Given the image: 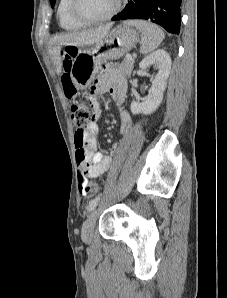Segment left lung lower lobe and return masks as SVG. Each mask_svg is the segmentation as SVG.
I'll return each mask as SVG.
<instances>
[{"label":"left lung lower lobe","mask_w":227,"mask_h":298,"mask_svg":"<svg viewBox=\"0 0 227 298\" xmlns=\"http://www.w3.org/2000/svg\"><path fill=\"white\" fill-rule=\"evenodd\" d=\"M182 0H130L113 21L145 19L159 24L168 32L179 34Z\"/></svg>","instance_id":"obj_1"}]
</instances>
